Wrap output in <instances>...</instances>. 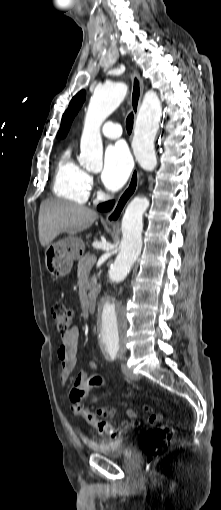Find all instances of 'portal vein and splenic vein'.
Listing matches in <instances>:
<instances>
[{
    "mask_svg": "<svg viewBox=\"0 0 221 510\" xmlns=\"http://www.w3.org/2000/svg\"><path fill=\"white\" fill-rule=\"evenodd\" d=\"M90 261L92 263H95L96 262V256L95 255H92V257L90 258Z\"/></svg>",
    "mask_w": 221,
    "mask_h": 510,
    "instance_id": "18ae733b",
    "label": "portal vein and splenic vein"
}]
</instances>
